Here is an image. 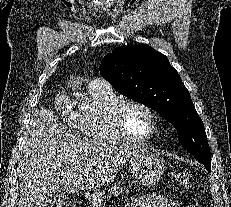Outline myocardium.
Masks as SVG:
<instances>
[{"mask_svg":"<svg viewBox=\"0 0 231 207\" xmlns=\"http://www.w3.org/2000/svg\"><path fill=\"white\" fill-rule=\"evenodd\" d=\"M135 105L143 108L149 115L151 121V132L146 137H134L129 133L123 120V113L126 107ZM110 121L118 134L133 143L142 144L152 140L158 130V117L156 112L148 104L137 99L119 100L110 111Z\"/></svg>","mask_w":231,"mask_h":207,"instance_id":"1","label":"myocardium"}]
</instances>
